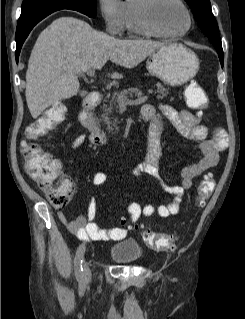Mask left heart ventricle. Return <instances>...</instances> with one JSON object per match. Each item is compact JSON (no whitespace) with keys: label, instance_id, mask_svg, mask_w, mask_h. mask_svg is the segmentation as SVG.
I'll list each match as a JSON object with an SVG mask.
<instances>
[{"label":"left heart ventricle","instance_id":"obj_1","mask_svg":"<svg viewBox=\"0 0 245 319\" xmlns=\"http://www.w3.org/2000/svg\"><path fill=\"white\" fill-rule=\"evenodd\" d=\"M154 19L167 32L183 31L188 24L186 12L175 0H159L154 8Z\"/></svg>","mask_w":245,"mask_h":319}]
</instances>
